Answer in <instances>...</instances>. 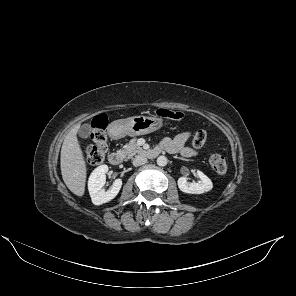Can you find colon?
<instances>
[{"label":"colon","mask_w":296,"mask_h":296,"mask_svg":"<svg viewBox=\"0 0 296 296\" xmlns=\"http://www.w3.org/2000/svg\"><path fill=\"white\" fill-rule=\"evenodd\" d=\"M156 114L159 117L172 120H180L183 118V113L169 109H157ZM108 120L106 116H97L91 124V138L93 143L84 147L83 153L85 160L91 165L101 163L108 151L107 137L105 129ZM207 140V134L204 130L199 129L195 132L192 139V148L198 150L202 148ZM209 163L214 171L219 175H224L227 172V163L223 156L214 153L209 156Z\"/></svg>","instance_id":"colon-1"}]
</instances>
